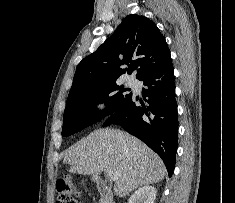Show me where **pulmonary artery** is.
<instances>
[{
  "mask_svg": "<svg viewBox=\"0 0 235 203\" xmlns=\"http://www.w3.org/2000/svg\"><path fill=\"white\" fill-rule=\"evenodd\" d=\"M127 83L130 86H135L137 82H136V80L134 78H128L127 79Z\"/></svg>",
  "mask_w": 235,
  "mask_h": 203,
  "instance_id": "e3ab8cb5",
  "label": "pulmonary artery"
}]
</instances>
